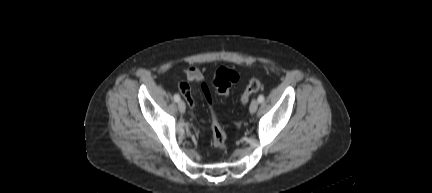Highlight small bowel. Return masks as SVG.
Masks as SVG:
<instances>
[{"mask_svg": "<svg viewBox=\"0 0 432 193\" xmlns=\"http://www.w3.org/2000/svg\"><path fill=\"white\" fill-rule=\"evenodd\" d=\"M185 77L187 82L199 83L203 81V75L201 71L196 67H190L185 72ZM179 89L183 96L188 101L191 107H194V99L190 90L188 83L183 82L179 85Z\"/></svg>", "mask_w": 432, "mask_h": 193, "instance_id": "small-bowel-1", "label": "small bowel"}]
</instances>
